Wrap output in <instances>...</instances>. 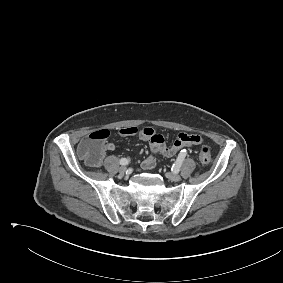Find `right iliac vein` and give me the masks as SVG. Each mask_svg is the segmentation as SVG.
I'll return each instance as SVG.
<instances>
[{"label": "right iliac vein", "instance_id": "63e3f726", "mask_svg": "<svg viewBox=\"0 0 283 283\" xmlns=\"http://www.w3.org/2000/svg\"><path fill=\"white\" fill-rule=\"evenodd\" d=\"M119 174L121 176H126L127 175V167H125V166L120 167L119 168Z\"/></svg>", "mask_w": 283, "mask_h": 283}]
</instances>
